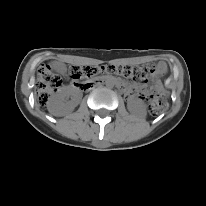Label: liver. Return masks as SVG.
I'll return each mask as SVG.
<instances>
[{
    "instance_id": "1",
    "label": "liver",
    "mask_w": 206,
    "mask_h": 206,
    "mask_svg": "<svg viewBox=\"0 0 206 206\" xmlns=\"http://www.w3.org/2000/svg\"><path fill=\"white\" fill-rule=\"evenodd\" d=\"M49 111L55 116H63L64 115V112H60V111L56 112V111H51V110H49Z\"/></svg>"
}]
</instances>
